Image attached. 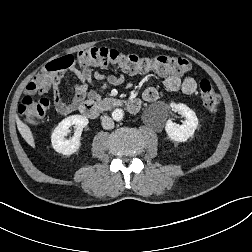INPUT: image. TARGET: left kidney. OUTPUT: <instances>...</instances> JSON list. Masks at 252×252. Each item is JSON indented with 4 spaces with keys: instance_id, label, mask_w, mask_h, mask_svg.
Returning <instances> with one entry per match:
<instances>
[{
    "instance_id": "1",
    "label": "left kidney",
    "mask_w": 252,
    "mask_h": 252,
    "mask_svg": "<svg viewBox=\"0 0 252 252\" xmlns=\"http://www.w3.org/2000/svg\"><path fill=\"white\" fill-rule=\"evenodd\" d=\"M170 107L181 113L185 120L179 125L173 123L170 119L166 122L165 131L171 140L185 142L193 136L198 125V119L193 110L184 104L171 103Z\"/></svg>"
}]
</instances>
